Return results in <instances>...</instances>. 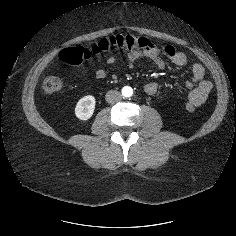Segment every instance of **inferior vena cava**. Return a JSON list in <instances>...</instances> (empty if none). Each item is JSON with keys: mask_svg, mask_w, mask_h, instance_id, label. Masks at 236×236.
Here are the masks:
<instances>
[{"mask_svg": "<svg viewBox=\"0 0 236 236\" xmlns=\"http://www.w3.org/2000/svg\"><path fill=\"white\" fill-rule=\"evenodd\" d=\"M105 99L108 103H116L122 100V94L117 90H110L106 93Z\"/></svg>", "mask_w": 236, "mask_h": 236, "instance_id": "inferior-vena-cava-1", "label": "inferior vena cava"}]
</instances>
